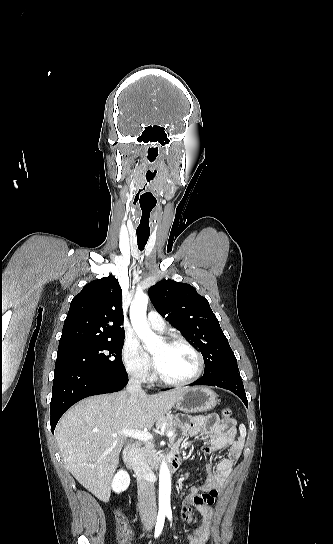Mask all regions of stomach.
<instances>
[{
    "instance_id": "stomach-1",
    "label": "stomach",
    "mask_w": 333,
    "mask_h": 544,
    "mask_svg": "<svg viewBox=\"0 0 333 544\" xmlns=\"http://www.w3.org/2000/svg\"><path fill=\"white\" fill-rule=\"evenodd\" d=\"M217 404V395L206 387L186 389L176 401V408L186 413L206 412Z\"/></svg>"
}]
</instances>
